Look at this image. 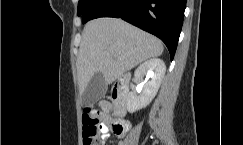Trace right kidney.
<instances>
[{"label":"right kidney","instance_id":"right-kidney-1","mask_svg":"<svg viewBox=\"0 0 243 145\" xmlns=\"http://www.w3.org/2000/svg\"><path fill=\"white\" fill-rule=\"evenodd\" d=\"M165 71V63L159 58H151L135 70L134 77L141 82L142 91L140 95H136L135 92L128 94L127 110L130 113L149 105L159 90ZM145 75L146 79L144 80Z\"/></svg>","mask_w":243,"mask_h":145}]
</instances>
